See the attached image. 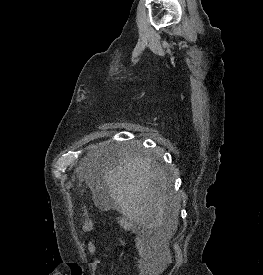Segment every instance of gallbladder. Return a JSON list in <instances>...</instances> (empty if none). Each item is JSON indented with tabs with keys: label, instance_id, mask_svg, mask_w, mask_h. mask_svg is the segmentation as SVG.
I'll return each instance as SVG.
<instances>
[{
	"label": "gallbladder",
	"instance_id": "gallbladder-1",
	"mask_svg": "<svg viewBox=\"0 0 263 275\" xmlns=\"http://www.w3.org/2000/svg\"><path fill=\"white\" fill-rule=\"evenodd\" d=\"M93 201L101 211H109L114 208V201L105 187L95 191Z\"/></svg>",
	"mask_w": 263,
	"mask_h": 275
}]
</instances>
